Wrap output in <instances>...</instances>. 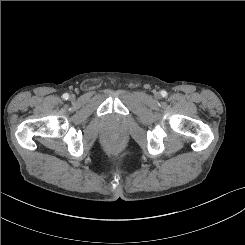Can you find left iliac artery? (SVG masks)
<instances>
[{
  "instance_id": "left-iliac-artery-1",
  "label": "left iliac artery",
  "mask_w": 245,
  "mask_h": 245,
  "mask_svg": "<svg viewBox=\"0 0 245 245\" xmlns=\"http://www.w3.org/2000/svg\"><path fill=\"white\" fill-rule=\"evenodd\" d=\"M162 95L165 96L166 95V92L165 91H162Z\"/></svg>"
}]
</instances>
